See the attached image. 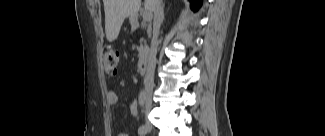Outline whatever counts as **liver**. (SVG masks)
<instances>
[{"label": "liver", "instance_id": "1", "mask_svg": "<svg viewBox=\"0 0 325 136\" xmlns=\"http://www.w3.org/2000/svg\"><path fill=\"white\" fill-rule=\"evenodd\" d=\"M105 11V33L109 42L117 39L126 17L137 18L141 0H103ZM146 9L152 11L150 0H145Z\"/></svg>", "mask_w": 325, "mask_h": 136}]
</instances>
